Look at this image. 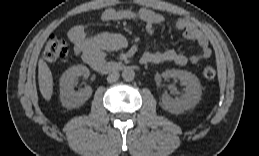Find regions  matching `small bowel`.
I'll return each instance as SVG.
<instances>
[{"instance_id":"1","label":"small bowel","mask_w":259,"mask_h":156,"mask_svg":"<svg viewBox=\"0 0 259 156\" xmlns=\"http://www.w3.org/2000/svg\"><path fill=\"white\" fill-rule=\"evenodd\" d=\"M102 20L105 22H117L122 20H134L145 23L146 32L149 37H153L154 28L157 25L166 23V19L150 9H115L106 8L102 12ZM175 28L183 33V36L190 41H194L199 48L197 54L190 56L178 53L173 49L164 51H146L141 58L145 64H161L172 62L183 66L196 64L211 56V49L205 34L191 21L178 18ZM68 37L74 45L75 52L90 66L98 62H104L107 51L119 50L127 46L126 38L121 34L101 33L91 35L87 29L81 25L72 27L68 32Z\"/></svg>"}]
</instances>
